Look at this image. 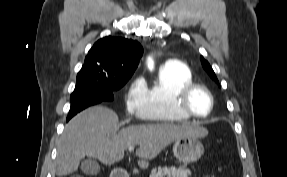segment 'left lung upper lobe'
I'll list each match as a JSON object with an SVG mask.
<instances>
[{
	"label": "left lung upper lobe",
	"mask_w": 287,
	"mask_h": 177,
	"mask_svg": "<svg viewBox=\"0 0 287 177\" xmlns=\"http://www.w3.org/2000/svg\"><path fill=\"white\" fill-rule=\"evenodd\" d=\"M201 62H202L204 69L208 72L210 77L218 83L216 75H215L212 67L209 65V63L203 57H201Z\"/></svg>",
	"instance_id": "left-lung-upper-lobe-1"
}]
</instances>
